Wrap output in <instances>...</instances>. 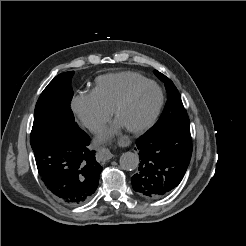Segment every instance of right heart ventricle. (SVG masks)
I'll return each mask as SVG.
<instances>
[{"instance_id":"1","label":"right heart ventricle","mask_w":246,"mask_h":246,"mask_svg":"<svg viewBox=\"0 0 246 246\" xmlns=\"http://www.w3.org/2000/svg\"><path fill=\"white\" fill-rule=\"evenodd\" d=\"M146 80L143 75L132 71L104 74L96 78L92 94L102 107L112 111L131 87Z\"/></svg>"}]
</instances>
